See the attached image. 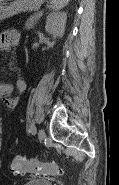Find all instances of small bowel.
<instances>
[{
	"label": "small bowel",
	"instance_id": "small-bowel-1",
	"mask_svg": "<svg viewBox=\"0 0 119 185\" xmlns=\"http://www.w3.org/2000/svg\"><path fill=\"white\" fill-rule=\"evenodd\" d=\"M19 40V33L16 30H6L0 35V48L2 50H10ZM26 88V81L19 79L16 82V89L19 93H22ZM13 87L8 83H1L0 96L6 107L10 110L16 108L19 98L12 96Z\"/></svg>",
	"mask_w": 119,
	"mask_h": 185
}]
</instances>
